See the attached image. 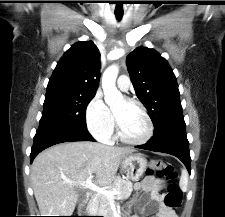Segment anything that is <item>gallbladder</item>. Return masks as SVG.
I'll return each mask as SVG.
<instances>
[{"mask_svg": "<svg viewBox=\"0 0 225 217\" xmlns=\"http://www.w3.org/2000/svg\"><path fill=\"white\" fill-rule=\"evenodd\" d=\"M86 196L85 193L83 191H79L78 192V204H82L85 200Z\"/></svg>", "mask_w": 225, "mask_h": 217, "instance_id": "obj_1", "label": "gallbladder"}]
</instances>
